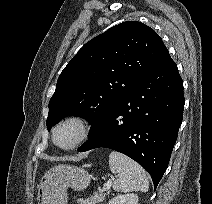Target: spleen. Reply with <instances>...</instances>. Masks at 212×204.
<instances>
[{
  "label": "spleen",
  "instance_id": "1",
  "mask_svg": "<svg viewBox=\"0 0 212 204\" xmlns=\"http://www.w3.org/2000/svg\"><path fill=\"white\" fill-rule=\"evenodd\" d=\"M109 167L112 173L117 174L112 186L115 191H148L149 181L145 170L126 155L112 151L109 154Z\"/></svg>",
  "mask_w": 212,
  "mask_h": 204
}]
</instances>
